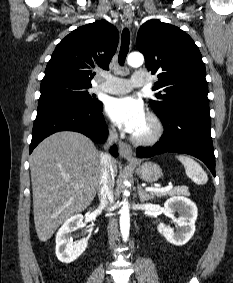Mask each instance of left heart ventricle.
<instances>
[{
    "label": "left heart ventricle",
    "mask_w": 233,
    "mask_h": 283,
    "mask_svg": "<svg viewBox=\"0 0 233 283\" xmlns=\"http://www.w3.org/2000/svg\"><path fill=\"white\" fill-rule=\"evenodd\" d=\"M151 130H152L151 122L145 117L144 121L142 122V124L140 125V127L138 128L135 134L139 136H145L149 134Z\"/></svg>",
    "instance_id": "left-heart-ventricle-1"
}]
</instances>
